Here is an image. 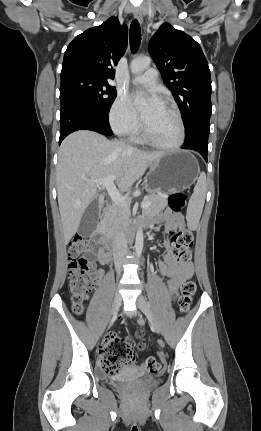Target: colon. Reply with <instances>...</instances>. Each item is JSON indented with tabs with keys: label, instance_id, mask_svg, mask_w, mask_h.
<instances>
[{
	"label": "colon",
	"instance_id": "1",
	"mask_svg": "<svg viewBox=\"0 0 261 431\" xmlns=\"http://www.w3.org/2000/svg\"><path fill=\"white\" fill-rule=\"evenodd\" d=\"M187 202L185 193H174L169 198L170 207L173 211L182 210ZM171 242L176 250L173 255L174 260L180 264H186L190 261L189 248L193 244V235L188 230L177 229L170 232ZM90 243L81 236H74L68 246L69 260V291L71 294L73 309L75 313L81 314L84 309V303L88 298L89 292L93 286L90 277V263L86 257L90 251ZM196 292V284L192 280L186 281L181 287L178 304L182 312H186L192 302ZM163 343H158V348H163ZM101 362L104 370L108 374H116L124 364L131 363L134 358L133 341L130 337H119L116 334L107 336L106 341L100 350ZM163 350H159L156 356L149 357L141 362V371L143 373H161L162 366H167L168 359Z\"/></svg>",
	"mask_w": 261,
	"mask_h": 431
}]
</instances>
